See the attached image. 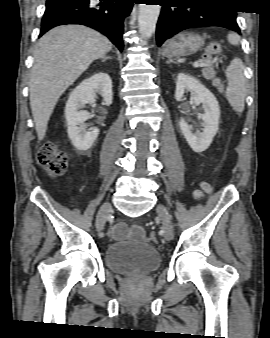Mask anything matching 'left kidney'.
Instances as JSON below:
<instances>
[{"instance_id": "1", "label": "left kidney", "mask_w": 270, "mask_h": 338, "mask_svg": "<svg viewBox=\"0 0 270 338\" xmlns=\"http://www.w3.org/2000/svg\"><path fill=\"white\" fill-rule=\"evenodd\" d=\"M189 91L195 104H202L204 114L203 132H192V127L181 118L179 121L180 129L188 142L189 146L196 153L205 151L218 131L220 108L216 97L196 78L185 73H179L176 81L175 99L181 101L184 93Z\"/></svg>"}]
</instances>
